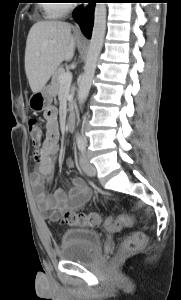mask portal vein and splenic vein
Instances as JSON below:
<instances>
[{
    "mask_svg": "<svg viewBox=\"0 0 181 300\" xmlns=\"http://www.w3.org/2000/svg\"><path fill=\"white\" fill-rule=\"evenodd\" d=\"M72 82V73L65 72L60 76V83L62 86H70Z\"/></svg>",
    "mask_w": 181,
    "mask_h": 300,
    "instance_id": "18ae733b",
    "label": "portal vein and splenic vein"
}]
</instances>
